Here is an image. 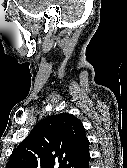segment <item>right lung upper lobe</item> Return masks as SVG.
Instances as JSON below:
<instances>
[{
	"mask_svg": "<svg viewBox=\"0 0 127 168\" xmlns=\"http://www.w3.org/2000/svg\"><path fill=\"white\" fill-rule=\"evenodd\" d=\"M89 156L81 121L61 113L40 122L13 150L6 168H76Z\"/></svg>",
	"mask_w": 127,
	"mask_h": 168,
	"instance_id": "right-lung-upper-lobe-1",
	"label": "right lung upper lobe"
}]
</instances>
